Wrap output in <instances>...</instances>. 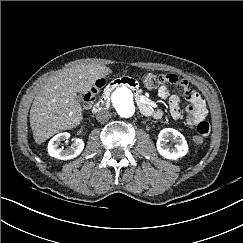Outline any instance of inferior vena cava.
Returning <instances> with one entry per match:
<instances>
[{
  "label": "inferior vena cava",
  "mask_w": 243,
  "mask_h": 243,
  "mask_svg": "<svg viewBox=\"0 0 243 243\" xmlns=\"http://www.w3.org/2000/svg\"><path fill=\"white\" fill-rule=\"evenodd\" d=\"M109 117H110V113L106 109H102V110L98 111L96 114V119L99 122L107 121L109 119Z\"/></svg>",
  "instance_id": "1"
}]
</instances>
